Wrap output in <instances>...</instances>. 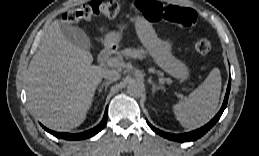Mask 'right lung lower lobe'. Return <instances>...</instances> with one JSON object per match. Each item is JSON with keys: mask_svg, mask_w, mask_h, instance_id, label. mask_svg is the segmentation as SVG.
<instances>
[{"mask_svg": "<svg viewBox=\"0 0 259 156\" xmlns=\"http://www.w3.org/2000/svg\"><path fill=\"white\" fill-rule=\"evenodd\" d=\"M106 122H107V108L105 110V114H104L102 121L95 128H92V129L82 132V133H78V134L58 133V132L51 131L45 127H43V128L58 138H63V139H67V140H80V139H86V138L96 135L98 132H100L104 128V126L106 125Z\"/></svg>", "mask_w": 259, "mask_h": 156, "instance_id": "right-lung-lower-lobe-1", "label": "right lung lower lobe"}]
</instances>
